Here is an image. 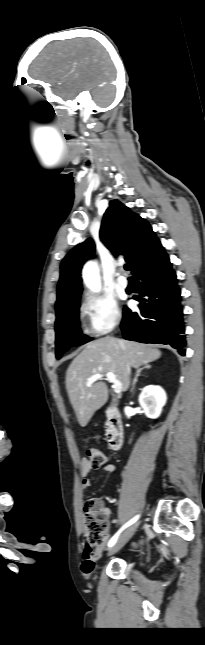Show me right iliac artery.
<instances>
[{
    "mask_svg": "<svg viewBox=\"0 0 205 645\" xmlns=\"http://www.w3.org/2000/svg\"><path fill=\"white\" fill-rule=\"evenodd\" d=\"M138 518H139V515L135 516L133 519H131L129 522H127V523H126V524H125V525H124V526H123V527H122V528H121V529H120V530H119V531H118V532H117V533H116V534H115V535L110 539V541H109V543H108V546H109V547L113 546V545L115 544V542L117 541V539H118V537H119L120 533H121L125 528H127V527H129L130 525H132L133 523H135V522L138 520Z\"/></svg>",
    "mask_w": 205,
    "mask_h": 645,
    "instance_id": "right-iliac-artery-1",
    "label": "right iliac artery"
}]
</instances>
